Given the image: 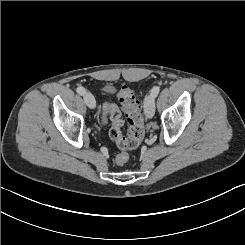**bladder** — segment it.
<instances>
[{
  "instance_id": "bladder-1",
  "label": "bladder",
  "mask_w": 245,
  "mask_h": 245,
  "mask_svg": "<svg viewBox=\"0 0 245 245\" xmlns=\"http://www.w3.org/2000/svg\"><path fill=\"white\" fill-rule=\"evenodd\" d=\"M104 89L109 91L111 88L106 86V87H104Z\"/></svg>"
}]
</instances>
